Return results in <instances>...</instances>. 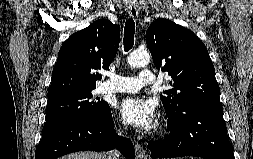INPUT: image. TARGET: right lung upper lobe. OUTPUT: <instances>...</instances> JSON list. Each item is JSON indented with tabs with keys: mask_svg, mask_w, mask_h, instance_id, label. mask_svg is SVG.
Masks as SVG:
<instances>
[{
	"mask_svg": "<svg viewBox=\"0 0 253 159\" xmlns=\"http://www.w3.org/2000/svg\"><path fill=\"white\" fill-rule=\"evenodd\" d=\"M119 39L120 26L108 19L95 21L71 35L59 50L48 99L95 89L101 79L97 70H109Z\"/></svg>",
	"mask_w": 253,
	"mask_h": 159,
	"instance_id": "right-lung-upper-lobe-1",
	"label": "right lung upper lobe"
}]
</instances>
